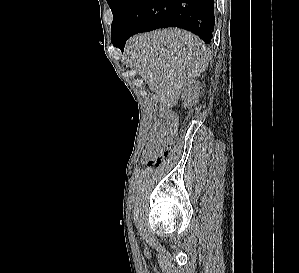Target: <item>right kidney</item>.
Wrapping results in <instances>:
<instances>
[{
    "label": "right kidney",
    "mask_w": 299,
    "mask_h": 273,
    "mask_svg": "<svg viewBox=\"0 0 299 273\" xmlns=\"http://www.w3.org/2000/svg\"><path fill=\"white\" fill-rule=\"evenodd\" d=\"M200 94V83L199 81H189L183 88L182 100L184 101V106H191L197 102Z\"/></svg>",
    "instance_id": "1"
}]
</instances>
